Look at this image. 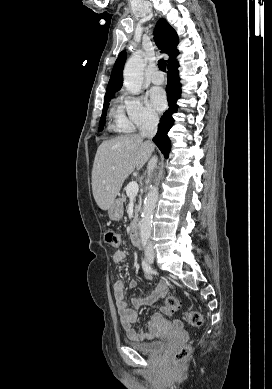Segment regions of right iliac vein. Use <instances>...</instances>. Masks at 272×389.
<instances>
[{
	"instance_id": "obj_1",
	"label": "right iliac vein",
	"mask_w": 272,
	"mask_h": 389,
	"mask_svg": "<svg viewBox=\"0 0 272 389\" xmlns=\"http://www.w3.org/2000/svg\"><path fill=\"white\" fill-rule=\"evenodd\" d=\"M154 253H146V258L147 260L150 262V263H153L154 262Z\"/></svg>"
}]
</instances>
